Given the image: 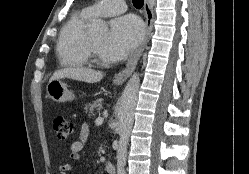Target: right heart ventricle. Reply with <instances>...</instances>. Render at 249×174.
<instances>
[{"label": "right heart ventricle", "instance_id": "obj_1", "mask_svg": "<svg viewBox=\"0 0 249 174\" xmlns=\"http://www.w3.org/2000/svg\"><path fill=\"white\" fill-rule=\"evenodd\" d=\"M90 18L85 10L75 13L62 28L57 54L64 66L82 67L89 63L87 23Z\"/></svg>", "mask_w": 249, "mask_h": 174}]
</instances>
